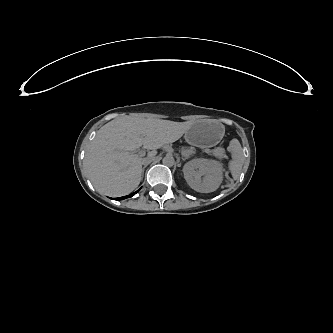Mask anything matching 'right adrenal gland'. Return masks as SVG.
<instances>
[{
    "instance_id": "obj_1",
    "label": "right adrenal gland",
    "mask_w": 333,
    "mask_h": 333,
    "mask_svg": "<svg viewBox=\"0 0 333 333\" xmlns=\"http://www.w3.org/2000/svg\"><path fill=\"white\" fill-rule=\"evenodd\" d=\"M146 167H147V165H145V166L142 168V176L144 175V170H145Z\"/></svg>"
}]
</instances>
